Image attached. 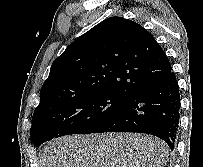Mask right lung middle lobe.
Returning <instances> with one entry per match:
<instances>
[{
  "label": "right lung middle lobe",
  "instance_id": "1",
  "mask_svg": "<svg viewBox=\"0 0 203 167\" xmlns=\"http://www.w3.org/2000/svg\"><path fill=\"white\" fill-rule=\"evenodd\" d=\"M126 101L127 97L118 93L97 92L35 111L30 130L31 141L39 147L60 136L92 133Z\"/></svg>",
  "mask_w": 203,
  "mask_h": 167
}]
</instances>
